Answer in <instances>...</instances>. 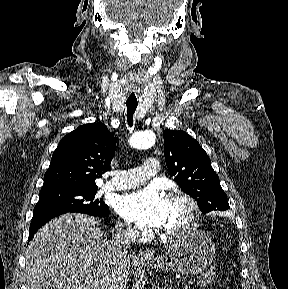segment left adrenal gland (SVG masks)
I'll return each instance as SVG.
<instances>
[{
    "label": "left adrenal gland",
    "instance_id": "obj_1",
    "mask_svg": "<svg viewBox=\"0 0 288 289\" xmlns=\"http://www.w3.org/2000/svg\"><path fill=\"white\" fill-rule=\"evenodd\" d=\"M156 288H157V289H160V288H159V285H157V287L155 286V289H156ZM164 289H166V288H164Z\"/></svg>",
    "mask_w": 288,
    "mask_h": 289
}]
</instances>
